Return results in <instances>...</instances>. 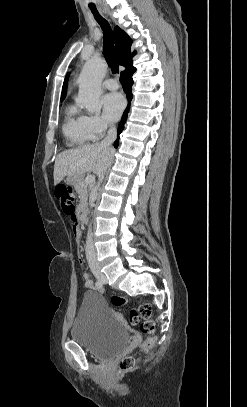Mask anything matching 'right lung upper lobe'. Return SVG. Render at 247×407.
Segmentation results:
<instances>
[{
	"instance_id": "obj_1",
	"label": "right lung upper lobe",
	"mask_w": 247,
	"mask_h": 407,
	"mask_svg": "<svg viewBox=\"0 0 247 407\" xmlns=\"http://www.w3.org/2000/svg\"><path fill=\"white\" fill-rule=\"evenodd\" d=\"M114 39L118 51L119 64L125 66L126 68L132 66V58L136 54V52L135 51L133 53L130 52L132 44L131 38L122 29L116 26L114 29ZM67 81L68 79L66 77L63 84L61 101L64 100L66 96Z\"/></svg>"
}]
</instances>
